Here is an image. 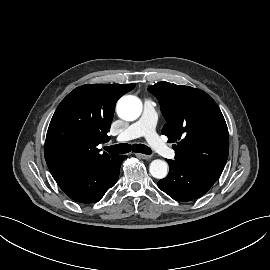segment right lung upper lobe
<instances>
[{
  "mask_svg": "<svg viewBox=\"0 0 270 270\" xmlns=\"http://www.w3.org/2000/svg\"><path fill=\"white\" fill-rule=\"evenodd\" d=\"M135 84L77 87L57 107L46 135L45 160L58 181L110 159L98 144L107 142L115 104Z\"/></svg>",
  "mask_w": 270,
  "mask_h": 270,
  "instance_id": "obj_1",
  "label": "right lung upper lobe"
}]
</instances>
